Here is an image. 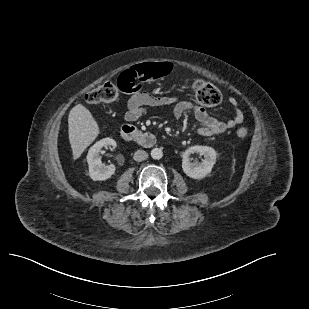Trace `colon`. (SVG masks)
<instances>
[{
	"label": "colon",
	"mask_w": 309,
	"mask_h": 309,
	"mask_svg": "<svg viewBox=\"0 0 309 309\" xmlns=\"http://www.w3.org/2000/svg\"><path fill=\"white\" fill-rule=\"evenodd\" d=\"M172 71V65L168 62L145 63L133 69L121 73L117 84L107 82L97 86L86 94V101L91 105L111 103L117 97L119 91L131 92V88L124 86L125 79H129L134 85L133 89H139L137 81L151 82L167 76ZM193 91L197 101L204 106H216L221 103L222 95L218 88L211 83L195 79L192 82ZM247 129L242 127L236 131V136L240 139L247 136Z\"/></svg>",
	"instance_id": "5ec220e1"
}]
</instances>
